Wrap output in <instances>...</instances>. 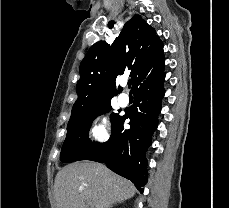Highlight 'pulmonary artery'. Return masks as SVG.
<instances>
[{"instance_id":"1","label":"pulmonary artery","mask_w":229,"mask_h":208,"mask_svg":"<svg viewBox=\"0 0 229 208\" xmlns=\"http://www.w3.org/2000/svg\"><path fill=\"white\" fill-rule=\"evenodd\" d=\"M122 86L125 87L126 86V83L123 82L122 83ZM119 103L120 105L122 106H126L128 103H129V96L127 93H122L120 96H119Z\"/></svg>"}]
</instances>
